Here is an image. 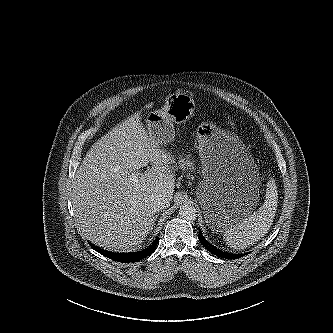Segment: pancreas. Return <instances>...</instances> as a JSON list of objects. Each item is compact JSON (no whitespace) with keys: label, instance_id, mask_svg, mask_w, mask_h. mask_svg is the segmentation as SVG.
<instances>
[{"label":"pancreas","instance_id":"pancreas-1","mask_svg":"<svg viewBox=\"0 0 333 333\" xmlns=\"http://www.w3.org/2000/svg\"><path fill=\"white\" fill-rule=\"evenodd\" d=\"M179 167L181 169H183V170H186V169L194 170V163L190 159L189 156H187L186 158L180 157V159H179Z\"/></svg>","mask_w":333,"mask_h":333}]
</instances>
